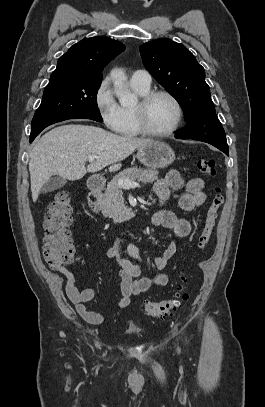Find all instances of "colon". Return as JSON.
<instances>
[{"label": "colon", "mask_w": 265, "mask_h": 407, "mask_svg": "<svg viewBox=\"0 0 265 407\" xmlns=\"http://www.w3.org/2000/svg\"><path fill=\"white\" fill-rule=\"evenodd\" d=\"M196 166L204 175L214 176L216 174L215 161L213 159L200 158L197 160ZM223 203L224 194L221 188L218 187L215 189L197 239L196 249L198 251H203L207 247L215 228L218 212ZM71 215V194L67 191L58 192L48 205L44 217L42 250L44 259L51 268H62L75 259V249L67 231ZM188 281L187 277H182L176 293L170 299L164 301H145L144 311L146 315L152 318L171 316L181 306L182 302L189 298L186 290Z\"/></svg>", "instance_id": "1"}]
</instances>
